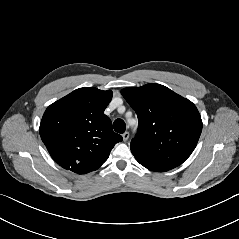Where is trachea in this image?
Segmentation results:
<instances>
[{
	"mask_svg": "<svg viewBox=\"0 0 239 239\" xmlns=\"http://www.w3.org/2000/svg\"><path fill=\"white\" fill-rule=\"evenodd\" d=\"M113 128L117 133H124L126 130V124L122 119H116L113 123Z\"/></svg>",
	"mask_w": 239,
	"mask_h": 239,
	"instance_id": "obj_1",
	"label": "trachea"
}]
</instances>
